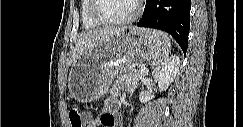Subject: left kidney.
<instances>
[{
	"instance_id": "left-kidney-1",
	"label": "left kidney",
	"mask_w": 243,
	"mask_h": 127,
	"mask_svg": "<svg viewBox=\"0 0 243 127\" xmlns=\"http://www.w3.org/2000/svg\"><path fill=\"white\" fill-rule=\"evenodd\" d=\"M180 66V58L178 56H172L165 60L160 66L156 67L153 71V77L158 82L160 91L166 90L176 77ZM154 98L149 92L142 91L139 95L141 103L149 102Z\"/></svg>"
}]
</instances>
